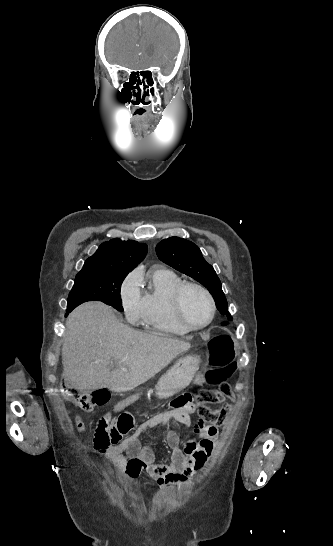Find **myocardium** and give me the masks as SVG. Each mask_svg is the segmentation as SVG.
I'll use <instances>...</instances> for the list:
<instances>
[{"instance_id": "myocardium-1", "label": "myocardium", "mask_w": 333, "mask_h": 546, "mask_svg": "<svg viewBox=\"0 0 333 546\" xmlns=\"http://www.w3.org/2000/svg\"><path fill=\"white\" fill-rule=\"evenodd\" d=\"M189 288H196L198 290H200L207 298L208 302H209V306H210V316L208 318V320L206 322H204L203 324H200V325H194L192 323H190L185 314H184V310H183V296H184V293L187 289ZM172 308H173V311H174V314L177 318V320L179 321V323L184 327L186 328L187 330L189 331H197V330H201V329H204L206 328L207 326H209L214 318H215V315H216V303H215V300H214V297L212 295V293L202 284L198 283V282H193V281H184L183 283H181L174 291L173 293V296H172Z\"/></svg>"}]
</instances>
